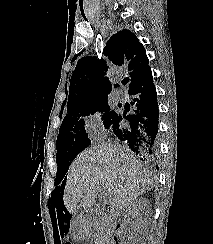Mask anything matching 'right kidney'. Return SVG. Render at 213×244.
<instances>
[{"label":"right kidney","mask_w":213,"mask_h":244,"mask_svg":"<svg viewBox=\"0 0 213 244\" xmlns=\"http://www.w3.org/2000/svg\"><path fill=\"white\" fill-rule=\"evenodd\" d=\"M144 208H149L148 200L144 197L136 199L124 215V222L130 223V220L138 214L139 210Z\"/></svg>","instance_id":"right-kidney-1"}]
</instances>
